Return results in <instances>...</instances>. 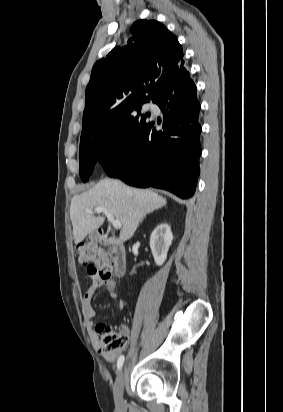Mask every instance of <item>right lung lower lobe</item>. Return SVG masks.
Here are the masks:
<instances>
[{"label":"right lung lower lobe","mask_w":283,"mask_h":412,"mask_svg":"<svg viewBox=\"0 0 283 412\" xmlns=\"http://www.w3.org/2000/svg\"><path fill=\"white\" fill-rule=\"evenodd\" d=\"M196 90L190 77L165 87L155 102L163 113V130L148 122L128 153L104 166L106 173L132 186L162 188L190 198L195 192L201 155Z\"/></svg>","instance_id":"1"}]
</instances>
